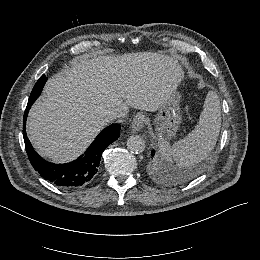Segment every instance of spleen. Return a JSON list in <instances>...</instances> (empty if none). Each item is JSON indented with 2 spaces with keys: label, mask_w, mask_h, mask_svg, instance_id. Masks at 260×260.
Instances as JSON below:
<instances>
[{
  "label": "spleen",
  "mask_w": 260,
  "mask_h": 260,
  "mask_svg": "<svg viewBox=\"0 0 260 260\" xmlns=\"http://www.w3.org/2000/svg\"><path fill=\"white\" fill-rule=\"evenodd\" d=\"M221 127L220 101L216 93L209 91L194 130L172 146L165 139L159 141L160 154L181 167H189L205 159L214 148Z\"/></svg>",
  "instance_id": "obj_1"
}]
</instances>
